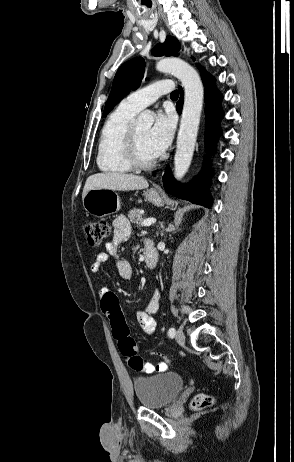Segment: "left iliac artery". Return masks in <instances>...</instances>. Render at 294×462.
<instances>
[{
    "label": "left iliac artery",
    "mask_w": 294,
    "mask_h": 462,
    "mask_svg": "<svg viewBox=\"0 0 294 462\" xmlns=\"http://www.w3.org/2000/svg\"><path fill=\"white\" fill-rule=\"evenodd\" d=\"M175 333H176L175 329H174V328H170L169 331H168V336H169L170 338H173V337L175 336Z\"/></svg>",
    "instance_id": "1"
}]
</instances>
